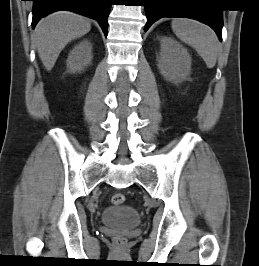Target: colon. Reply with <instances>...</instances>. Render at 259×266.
<instances>
[{
  "label": "colon",
  "instance_id": "1",
  "mask_svg": "<svg viewBox=\"0 0 259 266\" xmlns=\"http://www.w3.org/2000/svg\"><path fill=\"white\" fill-rule=\"evenodd\" d=\"M124 201H125V196L122 193H116L111 198V202L115 206L123 204ZM114 244L118 249H123L125 247L126 240L125 238L118 236L114 239Z\"/></svg>",
  "mask_w": 259,
  "mask_h": 266
}]
</instances>
